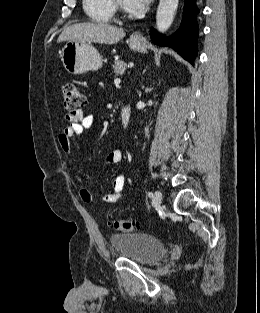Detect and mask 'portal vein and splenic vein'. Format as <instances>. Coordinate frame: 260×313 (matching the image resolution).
Returning a JSON list of instances; mask_svg holds the SVG:
<instances>
[{"label":"portal vein and splenic vein","instance_id":"portal-vein-and-splenic-vein-1","mask_svg":"<svg viewBox=\"0 0 260 313\" xmlns=\"http://www.w3.org/2000/svg\"><path fill=\"white\" fill-rule=\"evenodd\" d=\"M120 82H121L120 79H115V80H114V83H115V84H119Z\"/></svg>","mask_w":260,"mask_h":313}]
</instances>
